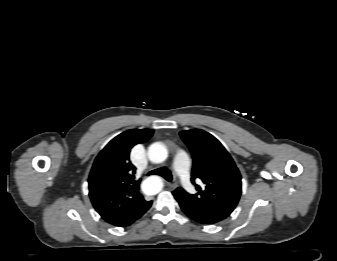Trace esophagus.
Returning <instances> with one entry per match:
<instances>
[{
	"mask_svg": "<svg viewBox=\"0 0 337 261\" xmlns=\"http://www.w3.org/2000/svg\"><path fill=\"white\" fill-rule=\"evenodd\" d=\"M168 185H169V187H171V188H176L177 187V180L176 179H174L172 182H170V183H168Z\"/></svg>",
	"mask_w": 337,
	"mask_h": 261,
	"instance_id": "34e87169",
	"label": "esophagus"
}]
</instances>
